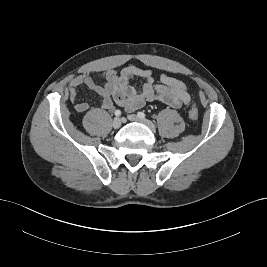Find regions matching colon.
Listing matches in <instances>:
<instances>
[{
	"instance_id": "obj_1",
	"label": "colon",
	"mask_w": 267,
	"mask_h": 267,
	"mask_svg": "<svg viewBox=\"0 0 267 267\" xmlns=\"http://www.w3.org/2000/svg\"><path fill=\"white\" fill-rule=\"evenodd\" d=\"M189 117L190 119L192 120H197L198 117H199V112H198V109L196 108L195 105H192L190 108H189Z\"/></svg>"
}]
</instances>
